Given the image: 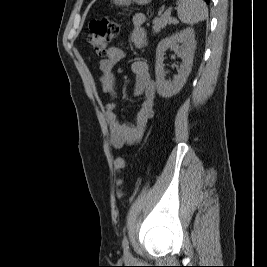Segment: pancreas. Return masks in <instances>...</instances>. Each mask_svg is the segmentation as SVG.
Returning <instances> with one entry per match:
<instances>
[{
  "label": "pancreas",
  "instance_id": "cf45deb5",
  "mask_svg": "<svg viewBox=\"0 0 267 267\" xmlns=\"http://www.w3.org/2000/svg\"><path fill=\"white\" fill-rule=\"evenodd\" d=\"M152 23H153V32L158 33L162 29H164L167 25L178 24V21H177V19L172 18L170 16L162 15L160 17L153 19Z\"/></svg>",
  "mask_w": 267,
  "mask_h": 267
}]
</instances>
